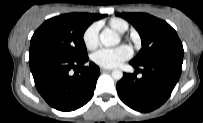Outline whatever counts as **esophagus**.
<instances>
[{
  "mask_svg": "<svg viewBox=\"0 0 203 123\" xmlns=\"http://www.w3.org/2000/svg\"><path fill=\"white\" fill-rule=\"evenodd\" d=\"M100 70H101L102 73L112 71V69H106V68H101Z\"/></svg>",
  "mask_w": 203,
  "mask_h": 123,
  "instance_id": "34e87169",
  "label": "esophagus"
}]
</instances>
